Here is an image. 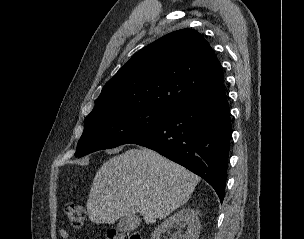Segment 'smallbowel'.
<instances>
[{
  "label": "small bowel",
  "mask_w": 304,
  "mask_h": 239,
  "mask_svg": "<svg viewBox=\"0 0 304 239\" xmlns=\"http://www.w3.org/2000/svg\"><path fill=\"white\" fill-rule=\"evenodd\" d=\"M59 234H60V237H61L62 239H70L69 232H68L66 229H64V228H61V229L59 230Z\"/></svg>",
  "instance_id": "obj_1"
}]
</instances>
